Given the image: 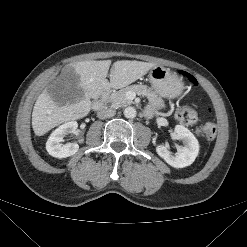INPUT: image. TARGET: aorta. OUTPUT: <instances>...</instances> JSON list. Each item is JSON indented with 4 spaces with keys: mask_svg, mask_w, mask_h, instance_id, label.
Instances as JSON below:
<instances>
[{
    "mask_svg": "<svg viewBox=\"0 0 247 247\" xmlns=\"http://www.w3.org/2000/svg\"><path fill=\"white\" fill-rule=\"evenodd\" d=\"M136 109L134 107H127L124 109V116L129 119L136 117Z\"/></svg>",
    "mask_w": 247,
    "mask_h": 247,
    "instance_id": "aorta-1",
    "label": "aorta"
}]
</instances>
